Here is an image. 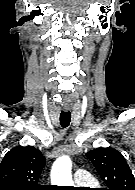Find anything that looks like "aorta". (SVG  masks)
<instances>
[{"mask_svg":"<svg viewBox=\"0 0 135 190\" xmlns=\"http://www.w3.org/2000/svg\"><path fill=\"white\" fill-rule=\"evenodd\" d=\"M71 168L72 162L69 156L58 158L52 167V183L58 186H73Z\"/></svg>","mask_w":135,"mask_h":190,"instance_id":"aorta-1","label":"aorta"}]
</instances>
